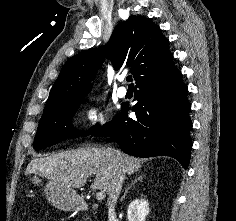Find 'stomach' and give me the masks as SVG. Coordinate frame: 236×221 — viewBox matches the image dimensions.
<instances>
[{"label":"stomach","instance_id":"0dacf381","mask_svg":"<svg viewBox=\"0 0 236 221\" xmlns=\"http://www.w3.org/2000/svg\"><path fill=\"white\" fill-rule=\"evenodd\" d=\"M33 184L40 183V179L35 175L30 177ZM47 199L53 206L63 211H72L81 202L80 196L73 189H68L64 185L49 181L45 186Z\"/></svg>","mask_w":236,"mask_h":221}]
</instances>
